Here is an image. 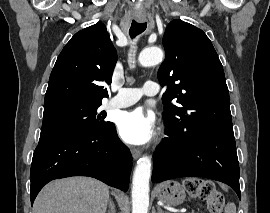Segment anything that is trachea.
Masks as SVG:
<instances>
[{
    "label": "trachea",
    "mask_w": 270,
    "mask_h": 213,
    "mask_svg": "<svg viewBox=\"0 0 270 213\" xmlns=\"http://www.w3.org/2000/svg\"><path fill=\"white\" fill-rule=\"evenodd\" d=\"M147 27L146 23H138L135 20L132 21L129 34L131 38H135L137 35L141 34L142 32L145 31Z\"/></svg>",
    "instance_id": "obj_1"
}]
</instances>
